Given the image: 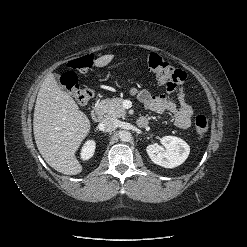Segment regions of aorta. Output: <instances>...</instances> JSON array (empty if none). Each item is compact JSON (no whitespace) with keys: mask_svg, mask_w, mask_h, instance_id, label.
Listing matches in <instances>:
<instances>
[{"mask_svg":"<svg viewBox=\"0 0 247 247\" xmlns=\"http://www.w3.org/2000/svg\"><path fill=\"white\" fill-rule=\"evenodd\" d=\"M119 138L122 142H129L132 139V135L129 131H122L119 134Z\"/></svg>","mask_w":247,"mask_h":247,"instance_id":"1","label":"aorta"}]
</instances>
